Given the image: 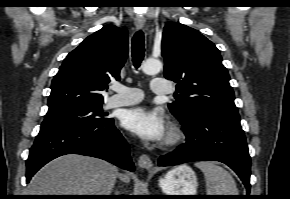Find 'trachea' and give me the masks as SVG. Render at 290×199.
<instances>
[{"label":"trachea","mask_w":290,"mask_h":199,"mask_svg":"<svg viewBox=\"0 0 290 199\" xmlns=\"http://www.w3.org/2000/svg\"><path fill=\"white\" fill-rule=\"evenodd\" d=\"M145 44L144 34L141 30L135 33L132 39V60L133 65L137 69L144 58Z\"/></svg>","instance_id":"trachea-1"}]
</instances>
